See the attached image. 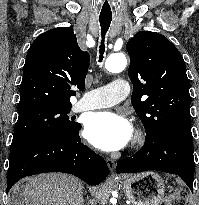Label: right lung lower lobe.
<instances>
[{
    "mask_svg": "<svg viewBox=\"0 0 199 205\" xmlns=\"http://www.w3.org/2000/svg\"><path fill=\"white\" fill-rule=\"evenodd\" d=\"M40 138L10 150L7 192L21 178L45 172H65L89 185L108 175L105 160L81 143L79 130Z\"/></svg>",
    "mask_w": 199,
    "mask_h": 205,
    "instance_id": "98d812e1",
    "label": "right lung lower lobe"
}]
</instances>
